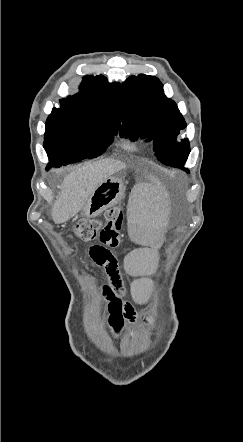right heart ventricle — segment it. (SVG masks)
Wrapping results in <instances>:
<instances>
[{
  "mask_svg": "<svg viewBox=\"0 0 243 442\" xmlns=\"http://www.w3.org/2000/svg\"><path fill=\"white\" fill-rule=\"evenodd\" d=\"M125 148L129 149V150H135L136 149V145L133 143H125Z\"/></svg>",
  "mask_w": 243,
  "mask_h": 442,
  "instance_id": "e07e8e85",
  "label": "right heart ventricle"
}]
</instances>
